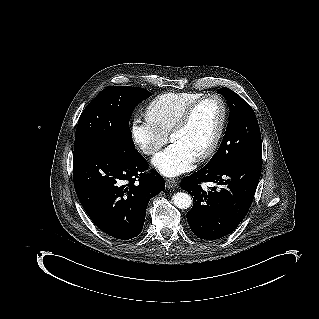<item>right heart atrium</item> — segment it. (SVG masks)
Returning a JSON list of instances; mask_svg holds the SVG:
<instances>
[{"label":"right heart atrium","instance_id":"d8ad5b80","mask_svg":"<svg viewBox=\"0 0 319 319\" xmlns=\"http://www.w3.org/2000/svg\"><path fill=\"white\" fill-rule=\"evenodd\" d=\"M134 136L136 143L144 149L148 148L157 151L165 144V138L162 131L152 128L146 123L135 124Z\"/></svg>","mask_w":319,"mask_h":319}]
</instances>
